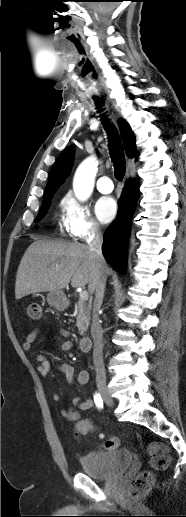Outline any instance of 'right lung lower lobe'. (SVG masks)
<instances>
[{"label":"right lung lower lobe","mask_w":186,"mask_h":517,"mask_svg":"<svg viewBox=\"0 0 186 517\" xmlns=\"http://www.w3.org/2000/svg\"><path fill=\"white\" fill-rule=\"evenodd\" d=\"M137 196L136 182L128 181L118 201L117 217L104 235L103 255L107 262L120 273H124L126 246Z\"/></svg>","instance_id":"1"}]
</instances>
